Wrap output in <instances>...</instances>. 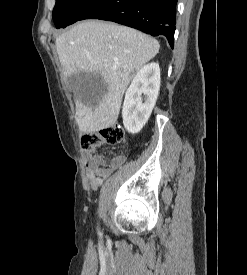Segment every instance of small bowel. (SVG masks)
Segmentation results:
<instances>
[{"label": "small bowel", "instance_id": "obj_1", "mask_svg": "<svg viewBox=\"0 0 247 275\" xmlns=\"http://www.w3.org/2000/svg\"><path fill=\"white\" fill-rule=\"evenodd\" d=\"M125 160L126 156L122 153L107 160L100 155L86 152L84 154V165L91 188L93 190L99 188L103 181L118 169Z\"/></svg>", "mask_w": 247, "mask_h": 275}]
</instances>
